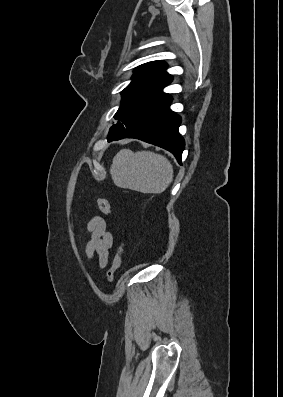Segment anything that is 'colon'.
<instances>
[{
  "label": "colon",
  "instance_id": "1",
  "mask_svg": "<svg viewBox=\"0 0 283 397\" xmlns=\"http://www.w3.org/2000/svg\"><path fill=\"white\" fill-rule=\"evenodd\" d=\"M98 208L100 211L105 214L110 216L112 213V208L109 203V201L106 198H99L97 201ZM123 247H124V237H121L120 243L117 248V252L115 254V257L112 261L111 267L107 271L105 275V279L107 282H112L121 266V261H122V252H123Z\"/></svg>",
  "mask_w": 283,
  "mask_h": 397
}]
</instances>
